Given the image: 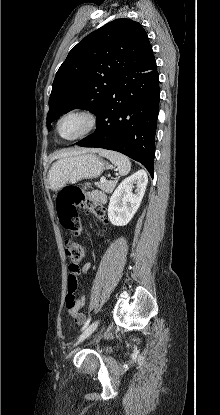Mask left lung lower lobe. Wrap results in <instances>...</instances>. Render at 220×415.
<instances>
[{
  "label": "left lung lower lobe",
  "mask_w": 220,
  "mask_h": 415,
  "mask_svg": "<svg viewBox=\"0 0 220 415\" xmlns=\"http://www.w3.org/2000/svg\"><path fill=\"white\" fill-rule=\"evenodd\" d=\"M159 97L153 56L143 67L116 80L96 115V131L76 145L118 151L142 163L153 176Z\"/></svg>",
  "instance_id": "left-lung-lower-lobe-1"
}]
</instances>
